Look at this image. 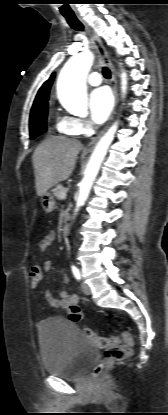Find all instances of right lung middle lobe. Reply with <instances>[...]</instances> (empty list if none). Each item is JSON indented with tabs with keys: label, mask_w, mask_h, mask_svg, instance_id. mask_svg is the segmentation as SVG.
Returning a JSON list of instances; mask_svg holds the SVG:
<instances>
[{
	"label": "right lung middle lobe",
	"mask_w": 168,
	"mask_h": 415,
	"mask_svg": "<svg viewBox=\"0 0 168 415\" xmlns=\"http://www.w3.org/2000/svg\"><path fill=\"white\" fill-rule=\"evenodd\" d=\"M48 106L31 111L30 114V137L34 139L40 134L46 132Z\"/></svg>",
	"instance_id": "right-lung-middle-lobe-1"
}]
</instances>
